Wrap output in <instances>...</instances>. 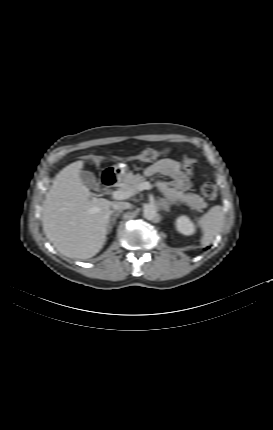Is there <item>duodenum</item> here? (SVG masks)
I'll return each mask as SVG.
<instances>
[{
  "mask_svg": "<svg viewBox=\"0 0 273 430\" xmlns=\"http://www.w3.org/2000/svg\"><path fill=\"white\" fill-rule=\"evenodd\" d=\"M102 182L107 187H114L118 182V177L112 172H106L102 176Z\"/></svg>",
  "mask_w": 273,
  "mask_h": 430,
  "instance_id": "1",
  "label": "duodenum"
}]
</instances>
